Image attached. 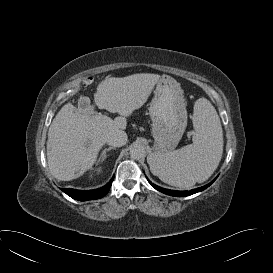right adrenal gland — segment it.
<instances>
[{"label": "right adrenal gland", "instance_id": "obj_1", "mask_svg": "<svg viewBox=\"0 0 273 273\" xmlns=\"http://www.w3.org/2000/svg\"><path fill=\"white\" fill-rule=\"evenodd\" d=\"M115 150V147H109V148H106L102 151L98 161H97V165L102 162L105 158H106V152L110 151V150Z\"/></svg>", "mask_w": 273, "mask_h": 273}]
</instances>
